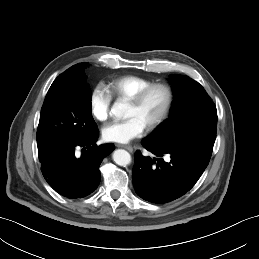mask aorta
Listing matches in <instances>:
<instances>
[{"label":"aorta","instance_id":"762f6f07","mask_svg":"<svg viewBox=\"0 0 259 259\" xmlns=\"http://www.w3.org/2000/svg\"><path fill=\"white\" fill-rule=\"evenodd\" d=\"M111 113L115 117L122 118L125 116L126 106L116 102L111 108ZM113 160L117 165L125 167L131 163V155L124 149H118L113 153Z\"/></svg>","mask_w":259,"mask_h":259}]
</instances>
